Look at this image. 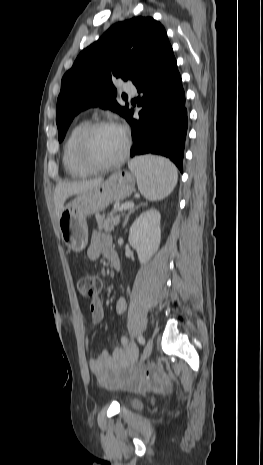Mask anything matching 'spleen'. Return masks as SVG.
I'll use <instances>...</instances> for the list:
<instances>
[{"instance_id":"obj_1","label":"spleen","mask_w":263,"mask_h":465,"mask_svg":"<svg viewBox=\"0 0 263 465\" xmlns=\"http://www.w3.org/2000/svg\"><path fill=\"white\" fill-rule=\"evenodd\" d=\"M128 167L137 179L140 193L147 200L164 199L177 184V169L164 157L153 155L136 157L129 161Z\"/></svg>"}]
</instances>
